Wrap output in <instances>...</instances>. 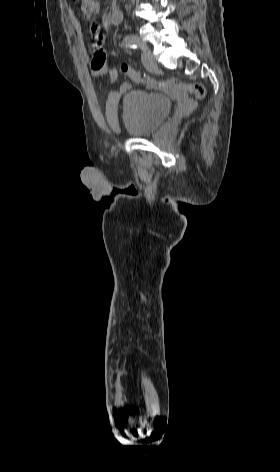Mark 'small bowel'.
<instances>
[{
	"label": "small bowel",
	"instance_id": "1",
	"mask_svg": "<svg viewBox=\"0 0 280 472\" xmlns=\"http://www.w3.org/2000/svg\"><path fill=\"white\" fill-rule=\"evenodd\" d=\"M89 34L92 38V58L90 61V71L92 76H99L108 74L110 80L113 82L117 79V70L110 66L107 61L106 52L104 49V34L100 26L93 23L89 29ZM128 89V83H124L120 90L111 91L106 102V116L110 124L114 125L119 106V98Z\"/></svg>",
	"mask_w": 280,
	"mask_h": 472
}]
</instances>
